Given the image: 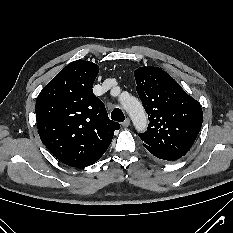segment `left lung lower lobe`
I'll list each match as a JSON object with an SVG mask.
<instances>
[{"mask_svg":"<svg viewBox=\"0 0 233 233\" xmlns=\"http://www.w3.org/2000/svg\"><path fill=\"white\" fill-rule=\"evenodd\" d=\"M144 146L151 154H153L155 157H157L159 159L173 161V160H177V159L182 157V156H179V155H176V154H171V153H168V152H164V151L155 149V148L150 147V146H148L146 144H144Z\"/></svg>","mask_w":233,"mask_h":233,"instance_id":"left-lung-lower-lobe-1","label":"left lung lower lobe"}]
</instances>
